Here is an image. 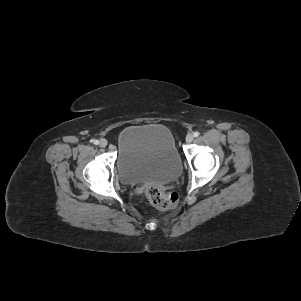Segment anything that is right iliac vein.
I'll return each instance as SVG.
<instances>
[{"mask_svg": "<svg viewBox=\"0 0 301 301\" xmlns=\"http://www.w3.org/2000/svg\"><path fill=\"white\" fill-rule=\"evenodd\" d=\"M99 144H100V147L105 148L107 146L108 142L106 139H101Z\"/></svg>", "mask_w": 301, "mask_h": 301, "instance_id": "1", "label": "right iliac vein"}]
</instances>
